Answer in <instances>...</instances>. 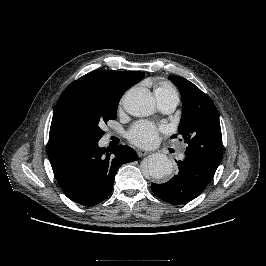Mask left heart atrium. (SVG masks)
<instances>
[{"instance_id":"left-heart-atrium-1","label":"left heart atrium","mask_w":266,"mask_h":266,"mask_svg":"<svg viewBox=\"0 0 266 266\" xmlns=\"http://www.w3.org/2000/svg\"><path fill=\"white\" fill-rule=\"evenodd\" d=\"M160 128L148 121L135 123L128 131L127 137L130 142L140 147L152 146L158 137Z\"/></svg>"}]
</instances>
